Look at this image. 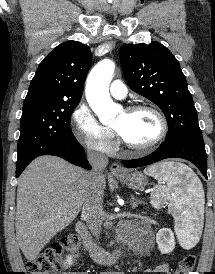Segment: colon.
I'll return each instance as SVG.
<instances>
[{
	"mask_svg": "<svg viewBox=\"0 0 215 274\" xmlns=\"http://www.w3.org/2000/svg\"><path fill=\"white\" fill-rule=\"evenodd\" d=\"M79 241L75 235H69L54 243L35 261L28 264L31 274H60L63 267L70 264L69 254H74ZM196 258L187 254L182 257L175 274H192Z\"/></svg>",
	"mask_w": 215,
	"mask_h": 274,
	"instance_id": "obj_1",
	"label": "colon"
}]
</instances>
